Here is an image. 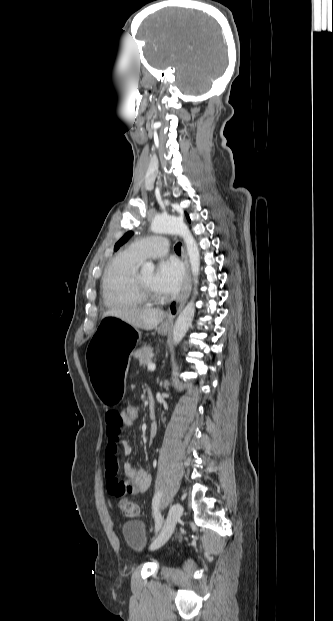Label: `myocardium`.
<instances>
[{
	"instance_id": "1",
	"label": "myocardium",
	"mask_w": 333,
	"mask_h": 621,
	"mask_svg": "<svg viewBox=\"0 0 333 621\" xmlns=\"http://www.w3.org/2000/svg\"><path fill=\"white\" fill-rule=\"evenodd\" d=\"M133 286L136 293L141 297L145 302H154L158 303L163 301L165 298L161 295H157L151 292L148 288H146L139 280L138 274L134 275L133 278Z\"/></svg>"
}]
</instances>
